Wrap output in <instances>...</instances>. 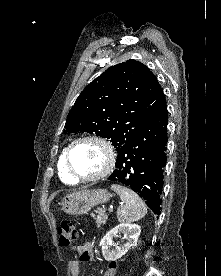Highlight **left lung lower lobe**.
I'll list each match as a JSON object with an SVG mask.
<instances>
[{"label":"left lung lower lobe","instance_id":"1","mask_svg":"<svg viewBox=\"0 0 221 276\" xmlns=\"http://www.w3.org/2000/svg\"><path fill=\"white\" fill-rule=\"evenodd\" d=\"M167 124L165 105L117 152V169L108 178L130 187L155 214H160L161 210L160 196L167 159Z\"/></svg>","mask_w":221,"mask_h":276}]
</instances>
